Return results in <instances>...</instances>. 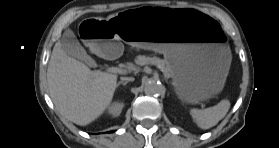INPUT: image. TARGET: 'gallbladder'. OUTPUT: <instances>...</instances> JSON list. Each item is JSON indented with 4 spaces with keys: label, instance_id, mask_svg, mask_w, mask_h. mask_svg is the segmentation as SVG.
I'll return each instance as SVG.
<instances>
[{
    "label": "gallbladder",
    "instance_id": "obj_1",
    "mask_svg": "<svg viewBox=\"0 0 279 148\" xmlns=\"http://www.w3.org/2000/svg\"><path fill=\"white\" fill-rule=\"evenodd\" d=\"M59 43L67 55L85 62L90 60V57L87 55L85 49L81 46L72 30H65L61 39L59 40Z\"/></svg>",
    "mask_w": 279,
    "mask_h": 148
}]
</instances>
